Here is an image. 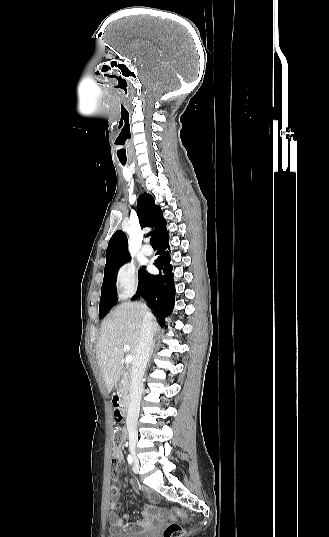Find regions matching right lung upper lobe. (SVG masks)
Returning a JSON list of instances; mask_svg holds the SVG:
<instances>
[{
  "label": "right lung upper lobe",
  "instance_id": "obj_1",
  "mask_svg": "<svg viewBox=\"0 0 329 537\" xmlns=\"http://www.w3.org/2000/svg\"><path fill=\"white\" fill-rule=\"evenodd\" d=\"M137 214L141 227H154L148 235H154L157 240L166 230V220L162 210L155 204L154 198L147 193L139 196L137 200ZM129 259L128 240L121 230L116 231L111 237L106 251L105 267Z\"/></svg>",
  "mask_w": 329,
  "mask_h": 537
}]
</instances>
